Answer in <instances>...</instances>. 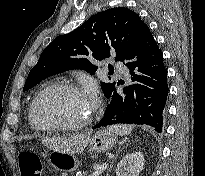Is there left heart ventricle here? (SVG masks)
<instances>
[{
    "label": "left heart ventricle",
    "instance_id": "b2bd125f",
    "mask_svg": "<svg viewBox=\"0 0 205 176\" xmlns=\"http://www.w3.org/2000/svg\"><path fill=\"white\" fill-rule=\"evenodd\" d=\"M90 110V104L81 93L58 90L41 100L38 117L44 123L77 124Z\"/></svg>",
    "mask_w": 205,
    "mask_h": 176
}]
</instances>
